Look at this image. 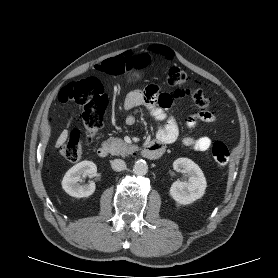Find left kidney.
<instances>
[{
    "mask_svg": "<svg viewBox=\"0 0 278 278\" xmlns=\"http://www.w3.org/2000/svg\"><path fill=\"white\" fill-rule=\"evenodd\" d=\"M177 172L186 173L188 182L175 181L170 188L171 197L181 205H189L200 199L207 187L206 178L200 167L188 158H178L173 163Z\"/></svg>",
    "mask_w": 278,
    "mask_h": 278,
    "instance_id": "1",
    "label": "left kidney"
}]
</instances>
